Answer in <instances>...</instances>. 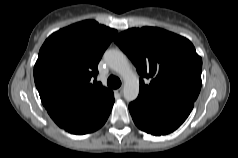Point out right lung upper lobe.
I'll return each mask as SVG.
<instances>
[{
	"mask_svg": "<svg viewBox=\"0 0 238 158\" xmlns=\"http://www.w3.org/2000/svg\"><path fill=\"white\" fill-rule=\"evenodd\" d=\"M117 33L86 20L49 36L34 66V80L43 105L105 102L112 98L113 92L95 78L98 63Z\"/></svg>",
	"mask_w": 238,
	"mask_h": 158,
	"instance_id": "1",
	"label": "right lung upper lobe"
}]
</instances>
